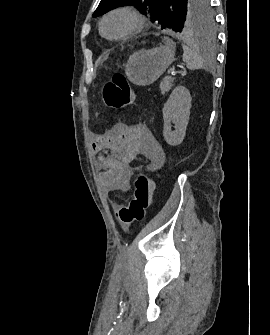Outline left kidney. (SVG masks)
Wrapping results in <instances>:
<instances>
[{
	"instance_id": "obj_1",
	"label": "left kidney",
	"mask_w": 270,
	"mask_h": 335,
	"mask_svg": "<svg viewBox=\"0 0 270 335\" xmlns=\"http://www.w3.org/2000/svg\"><path fill=\"white\" fill-rule=\"evenodd\" d=\"M191 102L192 98L189 90L184 86H177L164 104L162 110L164 118L163 136L170 146H179L185 138ZM171 122L175 124L174 132L171 130Z\"/></svg>"
}]
</instances>
